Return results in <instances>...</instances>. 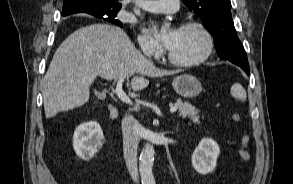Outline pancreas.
<instances>
[{
  "instance_id": "1",
  "label": "pancreas",
  "mask_w": 293,
  "mask_h": 184,
  "mask_svg": "<svg viewBox=\"0 0 293 184\" xmlns=\"http://www.w3.org/2000/svg\"><path fill=\"white\" fill-rule=\"evenodd\" d=\"M175 106H177L180 116L189 117L194 123L200 122V117L198 116L199 110H197L190 103L183 102L181 99H178Z\"/></svg>"
}]
</instances>
